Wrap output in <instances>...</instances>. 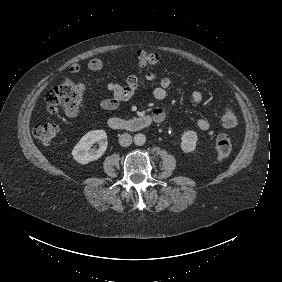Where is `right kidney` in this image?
<instances>
[{"instance_id": "ca27d5eb", "label": "right kidney", "mask_w": 282, "mask_h": 282, "mask_svg": "<svg viewBox=\"0 0 282 282\" xmlns=\"http://www.w3.org/2000/svg\"><path fill=\"white\" fill-rule=\"evenodd\" d=\"M99 144L96 153H90V148L95 144ZM108 140L105 130H92L86 133L80 141L72 149L73 159L81 165H88L92 161L99 159L107 150Z\"/></svg>"}]
</instances>
